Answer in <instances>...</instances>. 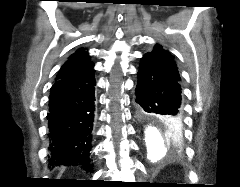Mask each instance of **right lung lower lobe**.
I'll list each match as a JSON object with an SVG mask.
<instances>
[{"instance_id": "1", "label": "right lung lower lobe", "mask_w": 240, "mask_h": 187, "mask_svg": "<svg viewBox=\"0 0 240 187\" xmlns=\"http://www.w3.org/2000/svg\"><path fill=\"white\" fill-rule=\"evenodd\" d=\"M87 65L55 81L49 97V164L92 170L94 69Z\"/></svg>"}]
</instances>
